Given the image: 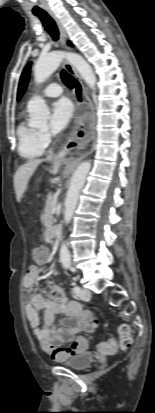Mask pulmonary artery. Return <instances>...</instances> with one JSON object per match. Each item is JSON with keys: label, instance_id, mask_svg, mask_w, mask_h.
<instances>
[{"label": "pulmonary artery", "instance_id": "pulmonary-artery-1", "mask_svg": "<svg viewBox=\"0 0 155 413\" xmlns=\"http://www.w3.org/2000/svg\"><path fill=\"white\" fill-rule=\"evenodd\" d=\"M62 92V87L58 83L51 82L43 89L42 95L46 97H57L60 96Z\"/></svg>", "mask_w": 155, "mask_h": 413}]
</instances>
